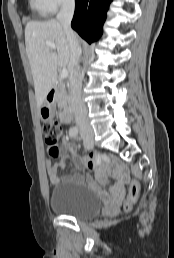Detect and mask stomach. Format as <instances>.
Here are the masks:
<instances>
[{"label":"stomach","mask_w":174,"mask_h":258,"mask_svg":"<svg viewBox=\"0 0 174 258\" xmlns=\"http://www.w3.org/2000/svg\"><path fill=\"white\" fill-rule=\"evenodd\" d=\"M39 115L44 121L51 120L55 115V103L46 98L39 108Z\"/></svg>","instance_id":"1"}]
</instances>
